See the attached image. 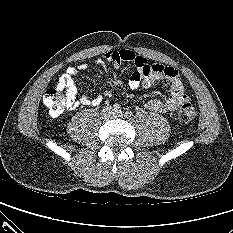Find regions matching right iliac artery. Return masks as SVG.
<instances>
[{
    "instance_id": "right-iliac-artery-1",
    "label": "right iliac artery",
    "mask_w": 233,
    "mask_h": 233,
    "mask_svg": "<svg viewBox=\"0 0 233 233\" xmlns=\"http://www.w3.org/2000/svg\"><path fill=\"white\" fill-rule=\"evenodd\" d=\"M112 109H113V111H115V112L121 111V107H120L119 104H114Z\"/></svg>"
}]
</instances>
